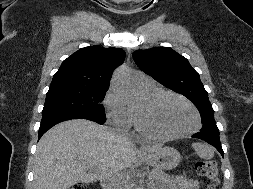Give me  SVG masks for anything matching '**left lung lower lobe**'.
Segmentation results:
<instances>
[{
	"label": "left lung lower lobe",
	"mask_w": 253,
	"mask_h": 189,
	"mask_svg": "<svg viewBox=\"0 0 253 189\" xmlns=\"http://www.w3.org/2000/svg\"><path fill=\"white\" fill-rule=\"evenodd\" d=\"M193 138H198L201 140H204L208 143H210L211 145H213L218 151L219 153L224 156V152L222 150L221 147V143L219 140V132H214V131H200L196 134L192 135Z\"/></svg>",
	"instance_id": "1"
}]
</instances>
